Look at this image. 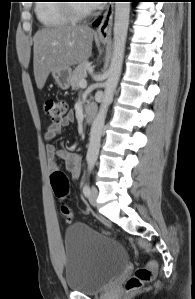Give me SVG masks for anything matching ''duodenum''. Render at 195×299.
<instances>
[{
    "label": "duodenum",
    "mask_w": 195,
    "mask_h": 299,
    "mask_svg": "<svg viewBox=\"0 0 195 299\" xmlns=\"http://www.w3.org/2000/svg\"><path fill=\"white\" fill-rule=\"evenodd\" d=\"M97 106L94 103H89L84 108V118L87 123H92L96 117Z\"/></svg>",
    "instance_id": "1"
}]
</instances>
